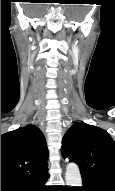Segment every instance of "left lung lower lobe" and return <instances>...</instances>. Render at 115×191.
I'll use <instances>...</instances> for the list:
<instances>
[{
    "mask_svg": "<svg viewBox=\"0 0 115 191\" xmlns=\"http://www.w3.org/2000/svg\"><path fill=\"white\" fill-rule=\"evenodd\" d=\"M77 191H109V190L97 183L83 182V186L77 189Z\"/></svg>",
    "mask_w": 115,
    "mask_h": 191,
    "instance_id": "1",
    "label": "left lung lower lobe"
}]
</instances>
